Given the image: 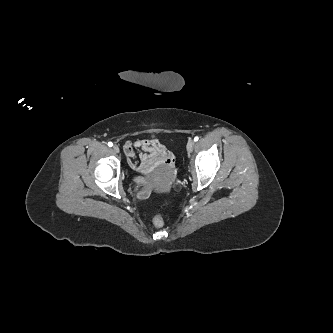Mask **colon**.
<instances>
[{
  "instance_id": "5ec220e1",
  "label": "colon",
  "mask_w": 333,
  "mask_h": 333,
  "mask_svg": "<svg viewBox=\"0 0 333 333\" xmlns=\"http://www.w3.org/2000/svg\"><path fill=\"white\" fill-rule=\"evenodd\" d=\"M153 225L156 228H162L164 226V220H163L162 216H160V215L154 216Z\"/></svg>"
}]
</instances>
